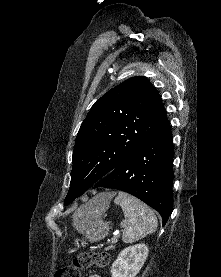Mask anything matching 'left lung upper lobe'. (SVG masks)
Here are the masks:
<instances>
[{
	"label": "left lung upper lobe",
	"mask_w": 221,
	"mask_h": 277,
	"mask_svg": "<svg viewBox=\"0 0 221 277\" xmlns=\"http://www.w3.org/2000/svg\"><path fill=\"white\" fill-rule=\"evenodd\" d=\"M166 121L161 97L146 77L130 78L99 98L76 137L64 204L112 172Z\"/></svg>",
	"instance_id": "5c2ea615"
}]
</instances>
